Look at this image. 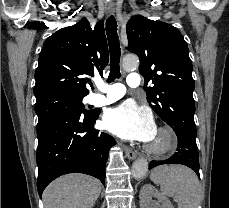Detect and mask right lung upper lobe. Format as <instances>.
I'll return each mask as SVG.
<instances>
[{
    "instance_id": "right-lung-upper-lobe-1",
    "label": "right lung upper lobe",
    "mask_w": 229,
    "mask_h": 208,
    "mask_svg": "<svg viewBox=\"0 0 229 208\" xmlns=\"http://www.w3.org/2000/svg\"><path fill=\"white\" fill-rule=\"evenodd\" d=\"M104 22L92 29L86 18L48 37L39 54L35 72L36 102L52 96L84 97L91 86L86 75L99 72L108 64Z\"/></svg>"
}]
</instances>
